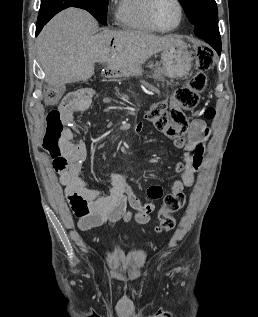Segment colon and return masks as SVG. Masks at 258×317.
<instances>
[{"label": "colon", "instance_id": "colon-1", "mask_svg": "<svg viewBox=\"0 0 258 317\" xmlns=\"http://www.w3.org/2000/svg\"><path fill=\"white\" fill-rule=\"evenodd\" d=\"M215 63V55L209 48L202 47L196 51L197 73L190 79L187 85L176 90L172 101L167 103H155L146 112V119L150 121L156 130L163 133L169 139L183 137L189 127L187 112L192 111L199 104L200 98L207 86L205 72L210 70ZM61 95L54 91L49 96V101L57 103ZM214 110L208 108L205 118L212 119ZM69 119L59 108L51 110L47 115L44 148L53 153H59L70 138ZM185 205L183 193H171L165 196L163 205L159 211V225L157 231L167 232L174 228L176 220L174 213L180 211Z\"/></svg>", "mask_w": 258, "mask_h": 317}]
</instances>
